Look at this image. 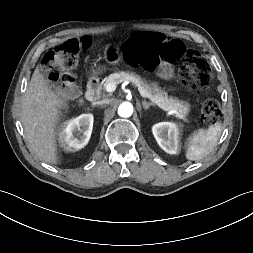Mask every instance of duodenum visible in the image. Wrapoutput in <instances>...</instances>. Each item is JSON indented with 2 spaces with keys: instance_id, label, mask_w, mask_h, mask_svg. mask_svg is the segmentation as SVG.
I'll return each mask as SVG.
<instances>
[{
  "instance_id": "1",
  "label": "duodenum",
  "mask_w": 253,
  "mask_h": 253,
  "mask_svg": "<svg viewBox=\"0 0 253 253\" xmlns=\"http://www.w3.org/2000/svg\"><path fill=\"white\" fill-rule=\"evenodd\" d=\"M100 81L98 78H91L87 85V91L82 99L83 102H94L99 98Z\"/></svg>"
}]
</instances>
